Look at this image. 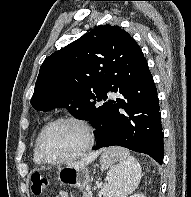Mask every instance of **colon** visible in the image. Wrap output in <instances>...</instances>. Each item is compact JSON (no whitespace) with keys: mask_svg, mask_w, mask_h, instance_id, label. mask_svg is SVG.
I'll list each match as a JSON object with an SVG mask.
<instances>
[{"mask_svg":"<svg viewBox=\"0 0 191 197\" xmlns=\"http://www.w3.org/2000/svg\"><path fill=\"white\" fill-rule=\"evenodd\" d=\"M31 181V189L34 195L42 194V192L46 189L48 185V179L40 173L32 174Z\"/></svg>","mask_w":191,"mask_h":197,"instance_id":"colon-1","label":"colon"}]
</instances>
